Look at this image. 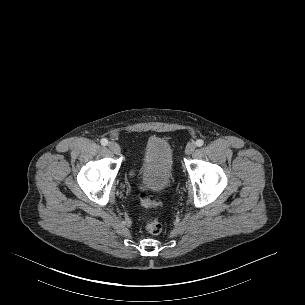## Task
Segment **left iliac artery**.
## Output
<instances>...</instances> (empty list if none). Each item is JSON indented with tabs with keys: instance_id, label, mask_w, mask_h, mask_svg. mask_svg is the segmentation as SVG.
I'll list each match as a JSON object with an SVG mask.
<instances>
[{
	"instance_id": "obj_1",
	"label": "left iliac artery",
	"mask_w": 305,
	"mask_h": 305,
	"mask_svg": "<svg viewBox=\"0 0 305 305\" xmlns=\"http://www.w3.org/2000/svg\"><path fill=\"white\" fill-rule=\"evenodd\" d=\"M204 144V141L202 139H198L196 141V146L201 147Z\"/></svg>"
}]
</instances>
